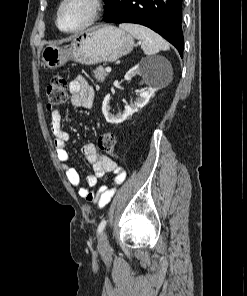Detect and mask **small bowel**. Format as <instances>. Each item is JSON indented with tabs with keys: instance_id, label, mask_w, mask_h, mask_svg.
<instances>
[{
	"instance_id": "c3829d8e",
	"label": "small bowel",
	"mask_w": 247,
	"mask_h": 296,
	"mask_svg": "<svg viewBox=\"0 0 247 296\" xmlns=\"http://www.w3.org/2000/svg\"><path fill=\"white\" fill-rule=\"evenodd\" d=\"M68 90L70 93V103L74 107L91 108L94 102V89L88 81L77 76L69 82ZM51 131L54 135V151L64 170L67 181L74 187L80 185V175L78 171L69 165V155L66 151V145L70 139L69 133L62 127V116L60 111L56 110L51 115ZM82 153L93 167V173L86 177L87 187H79L78 195L88 202L95 204L98 208L105 207L113 198L116 189L123 180V171L115 161L101 154L94 143H85L82 146ZM109 174H114L115 178L109 186L101 185L96 191L100 179H106Z\"/></svg>"
}]
</instances>
